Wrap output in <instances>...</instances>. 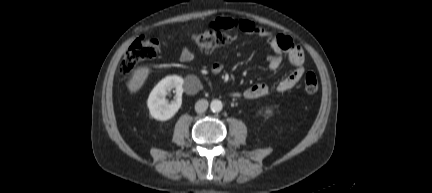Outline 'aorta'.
I'll use <instances>...</instances> for the list:
<instances>
[{"instance_id":"aorta-1","label":"aorta","mask_w":432,"mask_h":193,"mask_svg":"<svg viewBox=\"0 0 432 193\" xmlns=\"http://www.w3.org/2000/svg\"><path fill=\"white\" fill-rule=\"evenodd\" d=\"M210 109L212 112H220L223 109V104L220 100L214 99L210 103Z\"/></svg>"}]
</instances>
